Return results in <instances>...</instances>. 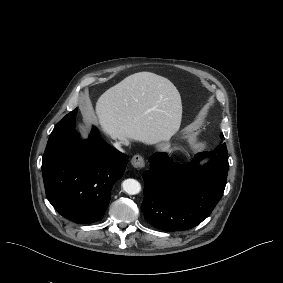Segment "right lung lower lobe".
<instances>
[{
  "instance_id": "98d812e1",
  "label": "right lung lower lobe",
  "mask_w": 283,
  "mask_h": 283,
  "mask_svg": "<svg viewBox=\"0 0 283 283\" xmlns=\"http://www.w3.org/2000/svg\"><path fill=\"white\" fill-rule=\"evenodd\" d=\"M77 110L68 113L50 134L42 174L54 208L73 222L87 224L103 218L128 156L107 144L94 127L88 140L81 141L74 131Z\"/></svg>"
}]
</instances>
